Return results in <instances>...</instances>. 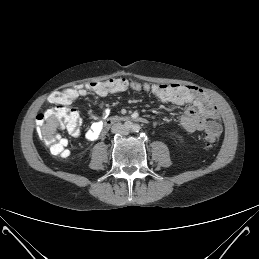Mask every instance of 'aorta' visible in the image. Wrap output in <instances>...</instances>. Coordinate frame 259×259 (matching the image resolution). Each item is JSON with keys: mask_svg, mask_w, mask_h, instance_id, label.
I'll list each match as a JSON object with an SVG mask.
<instances>
[{"mask_svg": "<svg viewBox=\"0 0 259 259\" xmlns=\"http://www.w3.org/2000/svg\"><path fill=\"white\" fill-rule=\"evenodd\" d=\"M130 129L133 131V132H138L139 129H140V126L138 124H132L130 126Z\"/></svg>", "mask_w": 259, "mask_h": 259, "instance_id": "762f6f07", "label": "aorta"}]
</instances>
